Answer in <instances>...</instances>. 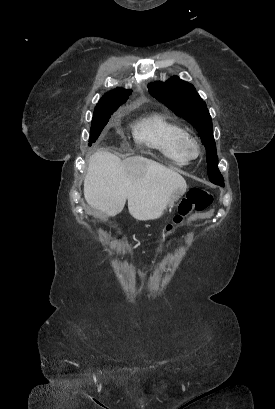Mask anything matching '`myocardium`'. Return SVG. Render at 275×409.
Wrapping results in <instances>:
<instances>
[{"label":"myocardium","instance_id":"1","mask_svg":"<svg viewBox=\"0 0 275 409\" xmlns=\"http://www.w3.org/2000/svg\"><path fill=\"white\" fill-rule=\"evenodd\" d=\"M185 145H190L192 147L193 152L191 154H186L184 152ZM176 151L179 157H197L199 154V145L193 136L186 133L178 140Z\"/></svg>","mask_w":275,"mask_h":409}]
</instances>
